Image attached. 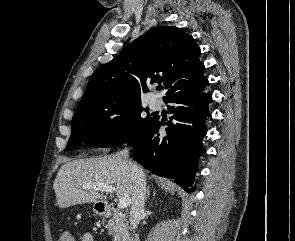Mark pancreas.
Instances as JSON below:
<instances>
[{
    "label": "pancreas",
    "instance_id": "obj_1",
    "mask_svg": "<svg viewBox=\"0 0 295 241\" xmlns=\"http://www.w3.org/2000/svg\"><path fill=\"white\" fill-rule=\"evenodd\" d=\"M112 217L108 221L106 228L111 236H113V241H122L128 234V222L124 214L118 210H113Z\"/></svg>",
    "mask_w": 295,
    "mask_h": 241
}]
</instances>
